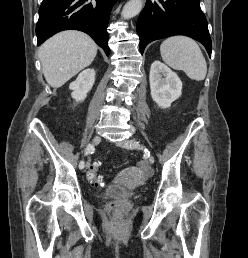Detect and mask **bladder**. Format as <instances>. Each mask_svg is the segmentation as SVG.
Returning a JSON list of instances; mask_svg holds the SVG:
<instances>
[{"label": "bladder", "instance_id": "1", "mask_svg": "<svg viewBox=\"0 0 248 258\" xmlns=\"http://www.w3.org/2000/svg\"><path fill=\"white\" fill-rule=\"evenodd\" d=\"M138 195L136 190L128 189L121 185H110L103 189L99 194V198L120 197L134 198Z\"/></svg>", "mask_w": 248, "mask_h": 258}]
</instances>
